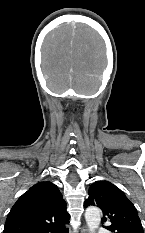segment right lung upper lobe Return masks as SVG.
Instances as JSON below:
<instances>
[{
    "instance_id": "obj_1",
    "label": "right lung upper lobe",
    "mask_w": 145,
    "mask_h": 233,
    "mask_svg": "<svg viewBox=\"0 0 145 233\" xmlns=\"http://www.w3.org/2000/svg\"><path fill=\"white\" fill-rule=\"evenodd\" d=\"M69 218L57 186L39 182L13 205L3 233H64Z\"/></svg>"
}]
</instances>
